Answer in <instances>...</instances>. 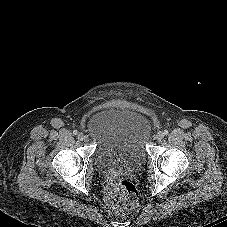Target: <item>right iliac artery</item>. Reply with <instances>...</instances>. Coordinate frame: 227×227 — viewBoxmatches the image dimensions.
<instances>
[{"label": "right iliac artery", "instance_id": "82829eb1", "mask_svg": "<svg viewBox=\"0 0 227 227\" xmlns=\"http://www.w3.org/2000/svg\"><path fill=\"white\" fill-rule=\"evenodd\" d=\"M77 133H78L77 130H74V131H73V134H74V135H77Z\"/></svg>", "mask_w": 227, "mask_h": 227}]
</instances>
